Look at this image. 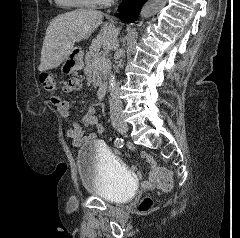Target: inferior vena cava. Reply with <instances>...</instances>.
I'll return each instance as SVG.
<instances>
[{"label": "inferior vena cava", "instance_id": "inferior-vena-cava-1", "mask_svg": "<svg viewBox=\"0 0 240 238\" xmlns=\"http://www.w3.org/2000/svg\"><path fill=\"white\" fill-rule=\"evenodd\" d=\"M110 115L112 121L123 118V105L119 97V83H115L114 89L110 93L109 98Z\"/></svg>", "mask_w": 240, "mask_h": 238}]
</instances>
